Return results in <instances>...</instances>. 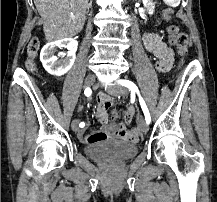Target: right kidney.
Wrapping results in <instances>:
<instances>
[{
  "label": "right kidney",
  "mask_w": 217,
  "mask_h": 202,
  "mask_svg": "<svg viewBox=\"0 0 217 202\" xmlns=\"http://www.w3.org/2000/svg\"><path fill=\"white\" fill-rule=\"evenodd\" d=\"M59 46H64L68 50L66 54H62L63 58L61 60H59L58 56H55ZM77 48L78 42L74 38H63V40H57V42H50V44L43 46L40 52V60L49 74H52V76H63L72 68Z\"/></svg>",
  "instance_id": "right-kidney-1"
}]
</instances>
